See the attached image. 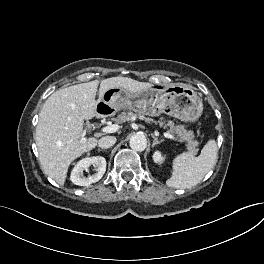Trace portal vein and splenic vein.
Here are the masks:
<instances>
[{"mask_svg":"<svg viewBox=\"0 0 264 264\" xmlns=\"http://www.w3.org/2000/svg\"><path fill=\"white\" fill-rule=\"evenodd\" d=\"M120 129V126L118 124H113L110 126H106L102 128V132L104 133H114L117 132ZM164 137L169 138L171 140H176V137H174L173 135H171L170 133H163Z\"/></svg>","mask_w":264,"mask_h":264,"instance_id":"1","label":"portal vein and splenic vein"}]
</instances>
